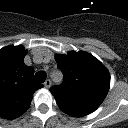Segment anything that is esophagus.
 I'll list each match as a JSON object with an SVG mask.
<instances>
[{
  "mask_svg": "<svg viewBox=\"0 0 128 128\" xmlns=\"http://www.w3.org/2000/svg\"><path fill=\"white\" fill-rule=\"evenodd\" d=\"M44 86L46 88H49L51 86V81L50 80H46L45 83H44Z\"/></svg>",
  "mask_w": 128,
  "mask_h": 128,
  "instance_id": "esophagus-1",
  "label": "esophagus"
}]
</instances>
